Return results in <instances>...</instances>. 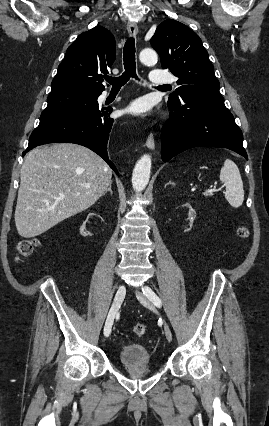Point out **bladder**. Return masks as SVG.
Returning <instances> with one entry per match:
<instances>
[{
    "mask_svg": "<svg viewBox=\"0 0 269 426\" xmlns=\"http://www.w3.org/2000/svg\"><path fill=\"white\" fill-rule=\"evenodd\" d=\"M118 360L124 368L135 369L148 366L151 361V355L145 347L138 344H130L119 350Z\"/></svg>",
    "mask_w": 269,
    "mask_h": 426,
    "instance_id": "bladder-1",
    "label": "bladder"
}]
</instances>
